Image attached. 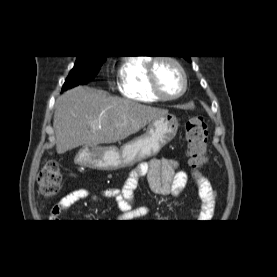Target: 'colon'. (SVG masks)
<instances>
[{"label": "colon", "instance_id": "5ec220e1", "mask_svg": "<svg viewBox=\"0 0 277 277\" xmlns=\"http://www.w3.org/2000/svg\"><path fill=\"white\" fill-rule=\"evenodd\" d=\"M208 128L201 116L190 118L185 125V141L192 168H201L205 162ZM62 182V173L56 161H48L38 176L40 191L44 196L54 195Z\"/></svg>", "mask_w": 277, "mask_h": 277}]
</instances>
